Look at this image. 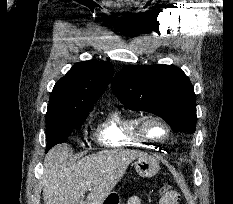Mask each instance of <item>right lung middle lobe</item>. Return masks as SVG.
Instances as JSON below:
<instances>
[{"label":"right lung middle lobe","mask_w":233,"mask_h":204,"mask_svg":"<svg viewBox=\"0 0 233 204\" xmlns=\"http://www.w3.org/2000/svg\"><path fill=\"white\" fill-rule=\"evenodd\" d=\"M89 111L74 116L65 117L56 121L46 122V152L54 145L67 140L73 129H78L84 123Z\"/></svg>","instance_id":"dd1d6c3e"}]
</instances>
